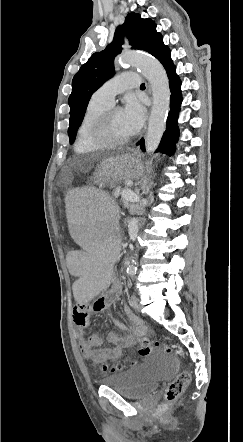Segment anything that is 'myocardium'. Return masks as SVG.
<instances>
[{"label":"myocardium","instance_id":"obj_1","mask_svg":"<svg viewBox=\"0 0 243 442\" xmlns=\"http://www.w3.org/2000/svg\"><path fill=\"white\" fill-rule=\"evenodd\" d=\"M119 110L116 107H110L101 113L91 124V140L100 147H118L127 144L133 138V134L120 140H111L106 136L109 120L114 111Z\"/></svg>","mask_w":243,"mask_h":442}]
</instances>
